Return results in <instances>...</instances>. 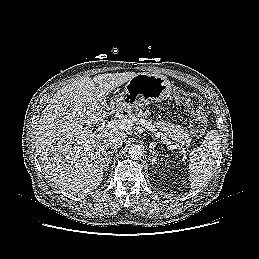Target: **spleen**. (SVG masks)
I'll use <instances>...</instances> for the list:
<instances>
[{"label":"spleen","mask_w":259,"mask_h":259,"mask_svg":"<svg viewBox=\"0 0 259 259\" xmlns=\"http://www.w3.org/2000/svg\"><path fill=\"white\" fill-rule=\"evenodd\" d=\"M219 140L218 131L211 130L207 133L203 145L192 150L189 160V180L192 189L200 188L211 178L219 154Z\"/></svg>","instance_id":"1"}]
</instances>
